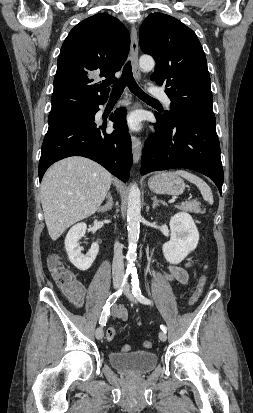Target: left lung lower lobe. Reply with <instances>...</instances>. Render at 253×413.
Masks as SVG:
<instances>
[{
  "instance_id": "obj_1",
  "label": "left lung lower lobe",
  "mask_w": 253,
  "mask_h": 413,
  "mask_svg": "<svg viewBox=\"0 0 253 413\" xmlns=\"http://www.w3.org/2000/svg\"><path fill=\"white\" fill-rule=\"evenodd\" d=\"M158 123L142 153L141 174L186 168L210 177L222 193L223 169L216 124L185 117L167 122L155 112Z\"/></svg>"
}]
</instances>
